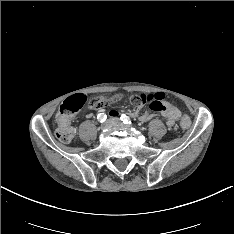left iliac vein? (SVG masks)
Instances as JSON below:
<instances>
[{
  "label": "left iliac vein",
  "instance_id": "left-iliac-vein-1",
  "mask_svg": "<svg viewBox=\"0 0 234 234\" xmlns=\"http://www.w3.org/2000/svg\"><path fill=\"white\" fill-rule=\"evenodd\" d=\"M111 125L115 126V127H123L124 125L122 124V122L118 119V118H112L110 120Z\"/></svg>",
  "mask_w": 234,
  "mask_h": 234
}]
</instances>
